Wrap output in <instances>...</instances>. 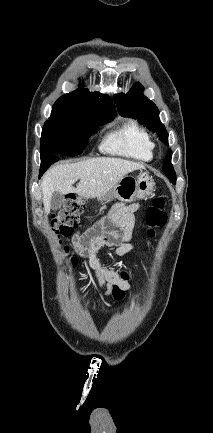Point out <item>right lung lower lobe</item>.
<instances>
[{
  "label": "right lung lower lobe",
  "instance_id": "1",
  "mask_svg": "<svg viewBox=\"0 0 213 433\" xmlns=\"http://www.w3.org/2000/svg\"><path fill=\"white\" fill-rule=\"evenodd\" d=\"M58 155H51L47 158L41 159V167H40V173L39 177L43 175V173L50 167L51 164L58 161Z\"/></svg>",
  "mask_w": 213,
  "mask_h": 433
}]
</instances>
